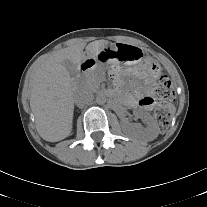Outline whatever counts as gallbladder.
<instances>
[{
  "mask_svg": "<svg viewBox=\"0 0 207 207\" xmlns=\"http://www.w3.org/2000/svg\"><path fill=\"white\" fill-rule=\"evenodd\" d=\"M63 65L66 67L70 74H74L77 71V65L69 60L64 61Z\"/></svg>",
  "mask_w": 207,
  "mask_h": 207,
  "instance_id": "bac80fb5",
  "label": "gallbladder"
}]
</instances>
